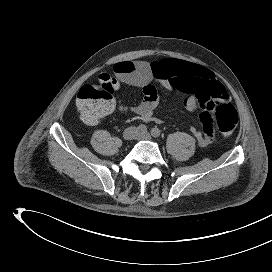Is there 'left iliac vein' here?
I'll return each mask as SVG.
<instances>
[{
  "label": "left iliac vein",
  "instance_id": "left-iliac-vein-1",
  "mask_svg": "<svg viewBox=\"0 0 272 272\" xmlns=\"http://www.w3.org/2000/svg\"><path fill=\"white\" fill-rule=\"evenodd\" d=\"M137 138L139 139H146V140H151V135L147 132L145 133H138Z\"/></svg>",
  "mask_w": 272,
  "mask_h": 272
}]
</instances>
